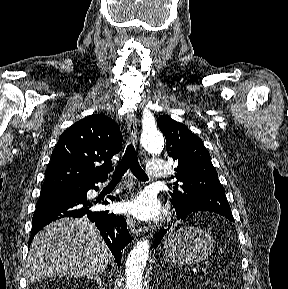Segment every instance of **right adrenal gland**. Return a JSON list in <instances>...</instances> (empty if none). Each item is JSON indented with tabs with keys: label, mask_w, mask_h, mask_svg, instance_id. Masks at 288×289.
Here are the masks:
<instances>
[{
	"label": "right adrenal gland",
	"mask_w": 288,
	"mask_h": 289,
	"mask_svg": "<svg viewBox=\"0 0 288 289\" xmlns=\"http://www.w3.org/2000/svg\"><path fill=\"white\" fill-rule=\"evenodd\" d=\"M102 276L103 272H100L96 276L91 277L93 280H96L97 284L99 285L100 289H105L102 285Z\"/></svg>",
	"instance_id": "1"
}]
</instances>
